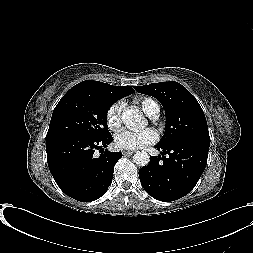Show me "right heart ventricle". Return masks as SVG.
Returning <instances> with one entry per match:
<instances>
[{"mask_svg": "<svg viewBox=\"0 0 253 253\" xmlns=\"http://www.w3.org/2000/svg\"><path fill=\"white\" fill-rule=\"evenodd\" d=\"M137 105L141 110L148 116H153L156 112L159 111V106L156 101L151 98H143L137 101Z\"/></svg>", "mask_w": 253, "mask_h": 253, "instance_id": "1", "label": "right heart ventricle"}]
</instances>
